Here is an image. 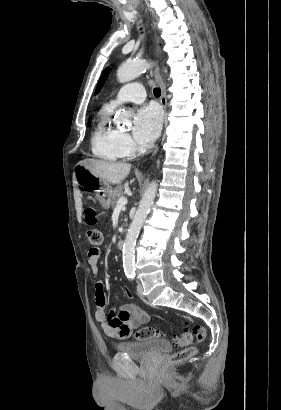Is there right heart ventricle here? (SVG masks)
<instances>
[{
  "mask_svg": "<svg viewBox=\"0 0 281 410\" xmlns=\"http://www.w3.org/2000/svg\"><path fill=\"white\" fill-rule=\"evenodd\" d=\"M113 110L104 107L91 135V150L95 157L104 161H118L128 155L121 142V132L110 123V114Z\"/></svg>",
  "mask_w": 281,
  "mask_h": 410,
  "instance_id": "obj_1",
  "label": "right heart ventricle"
}]
</instances>
